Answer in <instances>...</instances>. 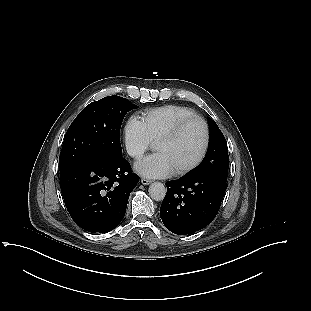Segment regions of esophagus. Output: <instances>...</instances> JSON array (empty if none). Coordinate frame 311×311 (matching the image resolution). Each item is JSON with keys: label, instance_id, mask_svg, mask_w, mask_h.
Segmentation results:
<instances>
[{"label": "esophagus", "instance_id": "1", "mask_svg": "<svg viewBox=\"0 0 311 311\" xmlns=\"http://www.w3.org/2000/svg\"><path fill=\"white\" fill-rule=\"evenodd\" d=\"M151 182H152L151 180L146 179V178H142V179H141V183H142L143 185H148V184H150Z\"/></svg>", "mask_w": 311, "mask_h": 311}]
</instances>
